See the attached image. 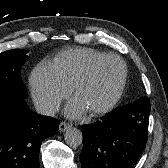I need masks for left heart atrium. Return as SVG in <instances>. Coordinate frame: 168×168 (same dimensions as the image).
Segmentation results:
<instances>
[{
  "label": "left heart atrium",
  "mask_w": 168,
  "mask_h": 168,
  "mask_svg": "<svg viewBox=\"0 0 168 168\" xmlns=\"http://www.w3.org/2000/svg\"><path fill=\"white\" fill-rule=\"evenodd\" d=\"M86 111V107L77 98H74L65 110L66 115L71 118H79L84 115Z\"/></svg>",
  "instance_id": "39dd6f15"
}]
</instances>
